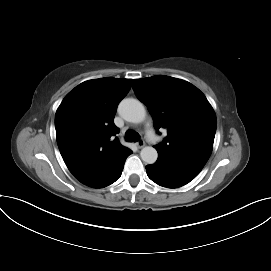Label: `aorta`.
<instances>
[{
	"instance_id": "762f6f07",
	"label": "aorta",
	"mask_w": 271,
	"mask_h": 271,
	"mask_svg": "<svg viewBox=\"0 0 271 271\" xmlns=\"http://www.w3.org/2000/svg\"><path fill=\"white\" fill-rule=\"evenodd\" d=\"M118 111L126 121L131 123H141L146 117L144 105L133 98L122 100L119 104ZM140 156L145 163L153 164L158 158V153L154 147L146 146L141 150Z\"/></svg>"
}]
</instances>
